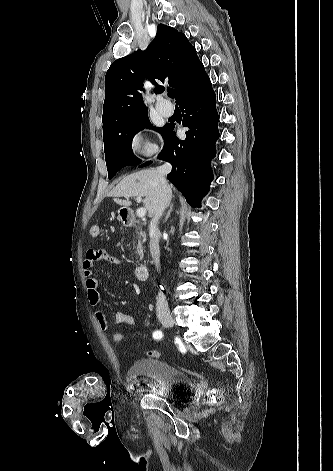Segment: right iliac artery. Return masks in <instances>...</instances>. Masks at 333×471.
<instances>
[{
    "label": "right iliac artery",
    "mask_w": 333,
    "mask_h": 471,
    "mask_svg": "<svg viewBox=\"0 0 333 471\" xmlns=\"http://www.w3.org/2000/svg\"><path fill=\"white\" fill-rule=\"evenodd\" d=\"M162 336H163V334H162V332H161L160 330H156V331L153 332V338H154V339L159 340V339L162 338Z\"/></svg>",
    "instance_id": "82829eb1"
}]
</instances>
